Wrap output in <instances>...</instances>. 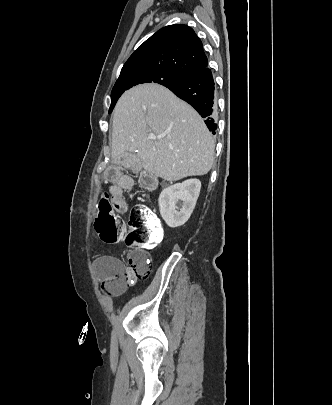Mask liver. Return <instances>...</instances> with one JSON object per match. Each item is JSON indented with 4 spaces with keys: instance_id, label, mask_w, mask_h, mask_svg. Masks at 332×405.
I'll use <instances>...</instances> for the list:
<instances>
[{
    "instance_id": "6515ba94",
    "label": "liver",
    "mask_w": 332,
    "mask_h": 405,
    "mask_svg": "<svg viewBox=\"0 0 332 405\" xmlns=\"http://www.w3.org/2000/svg\"><path fill=\"white\" fill-rule=\"evenodd\" d=\"M151 134L157 139L151 140ZM214 149L202 117L166 87L154 83L133 87L115 106L114 164L128 167L131 159L140 161L150 175L172 182L207 174Z\"/></svg>"
}]
</instances>
